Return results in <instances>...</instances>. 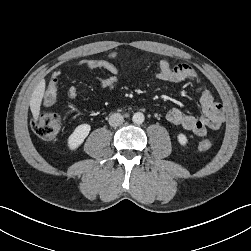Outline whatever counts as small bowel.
I'll return each mask as SVG.
<instances>
[{
	"label": "small bowel",
	"mask_w": 251,
	"mask_h": 251,
	"mask_svg": "<svg viewBox=\"0 0 251 251\" xmlns=\"http://www.w3.org/2000/svg\"><path fill=\"white\" fill-rule=\"evenodd\" d=\"M117 55V52H111L107 59L83 60L79 62L78 65L85 66L90 70L103 69L108 71L110 76L98 77L97 83L103 90L112 91L119 84L118 68L113 63V60ZM60 75V71H54L51 74L43 97V106L48 107L55 103ZM153 76L158 80L166 82H191L198 87L201 94L200 103L202 115L200 117H195L184 113L180 109L173 108L166 114L168 122L181 126L185 130L191 131L199 137L205 136L208 130H216L221 126L224 120L222 106L214 100L212 93L201 83L197 73L192 67L187 64L171 65L167 60H161L158 64V70ZM77 95V88L71 86L68 90V97L70 99H75Z\"/></svg>",
	"instance_id": "small-bowel-1"
}]
</instances>
